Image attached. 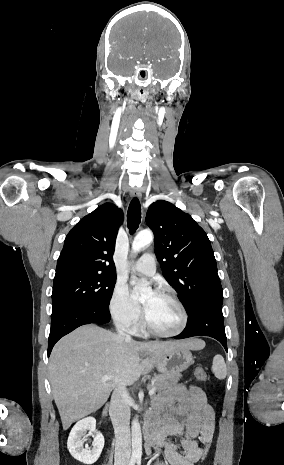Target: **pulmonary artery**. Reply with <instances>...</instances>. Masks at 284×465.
<instances>
[{
	"mask_svg": "<svg viewBox=\"0 0 284 465\" xmlns=\"http://www.w3.org/2000/svg\"><path fill=\"white\" fill-rule=\"evenodd\" d=\"M156 255L145 253L133 265V270L139 275H152L155 272Z\"/></svg>",
	"mask_w": 284,
	"mask_h": 465,
	"instance_id": "1",
	"label": "pulmonary artery"
}]
</instances>
